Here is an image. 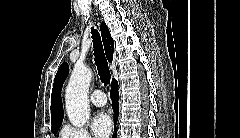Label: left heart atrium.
<instances>
[{
    "label": "left heart atrium",
    "instance_id": "left-heart-atrium-1",
    "mask_svg": "<svg viewBox=\"0 0 240 138\" xmlns=\"http://www.w3.org/2000/svg\"><path fill=\"white\" fill-rule=\"evenodd\" d=\"M112 130V121L108 114L99 112L92 122V131L97 138H106Z\"/></svg>",
    "mask_w": 240,
    "mask_h": 138
}]
</instances>
